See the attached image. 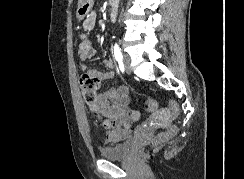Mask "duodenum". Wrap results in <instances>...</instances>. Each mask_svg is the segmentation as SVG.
Here are the masks:
<instances>
[{"label": "duodenum", "mask_w": 244, "mask_h": 179, "mask_svg": "<svg viewBox=\"0 0 244 179\" xmlns=\"http://www.w3.org/2000/svg\"><path fill=\"white\" fill-rule=\"evenodd\" d=\"M117 10L118 9L116 7H112L110 10L111 15L114 16L117 13Z\"/></svg>", "instance_id": "410a0bca"}]
</instances>
